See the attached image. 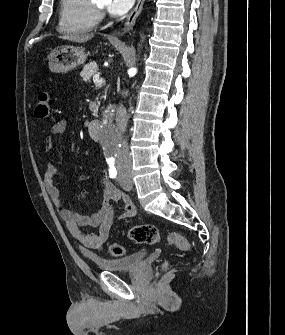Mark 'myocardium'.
Instances as JSON below:
<instances>
[{
  "label": "myocardium",
  "mask_w": 285,
  "mask_h": 335,
  "mask_svg": "<svg viewBox=\"0 0 285 335\" xmlns=\"http://www.w3.org/2000/svg\"><path fill=\"white\" fill-rule=\"evenodd\" d=\"M97 4H98V8L100 10H104L105 9V6L103 5V3L101 1H97Z\"/></svg>",
  "instance_id": "myocardium-1"
}]
</instances>
